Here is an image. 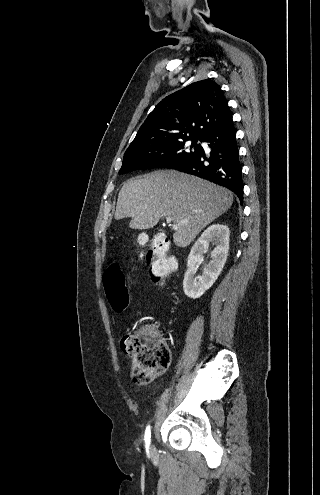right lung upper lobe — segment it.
Wrapping results in <instances>:
<instances>
[{
  "label": "right lung upper lobe",
  "mask_w": 320,
  "mask_h": 495,
  "mask_svg": "<svg viewBox=\"0 0 320 495\" xmlns=\"http://www.w3.org/2000/svg\"><path fill=\"white\" fill-rule=\"evenodd\" d=\"M231 117L221 87L212 79L197 81L158 103L128 149L185 138L201 139Z\"/></svg>",
  "instance_id": "1"
}]
</instances>
